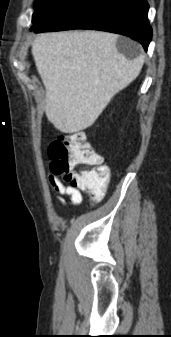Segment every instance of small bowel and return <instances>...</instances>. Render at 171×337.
<instances>
[{
  "label": "small bowel",
  "instance_id": "obj_1",
  "mask_svg": "<svg viewBox=\"0 0 171 337\" xmlns=\"http://www.w3.org/2000/svg\"><path fill=\"white\" fill-rule=\"evenodd\" d=\"M48 179L51 187L58 193L56 200L60 206L65 207L66 205L63 195L69 196L73 205L78 206L81 204L82 194L80 189L64 183L55 175H49Z\"/></svg>",
  "mask_w": 171,
  "mask_h": 337
}]
</instances>
